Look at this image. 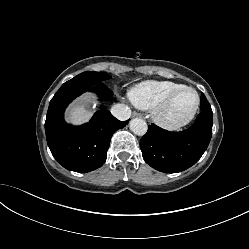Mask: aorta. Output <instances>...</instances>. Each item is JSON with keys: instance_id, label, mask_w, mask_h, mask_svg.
<instances>
[{"instance_id": "1", "label": "aorta", "mask_w": 249, "mask_h": 249, "mask_svg": "<svg viewBox=\"0 0 249 249\" xmlns=\"http://www.w3.org/2000/svg\"><path fill=\"white\" fill-rule=\"evenodd\" d=\"M131 131L138 135L143 136L147 132V123L141 118H134L130 121Z\"/></svg>"}]
</instances>
